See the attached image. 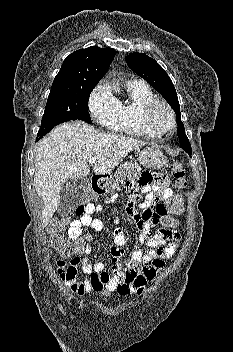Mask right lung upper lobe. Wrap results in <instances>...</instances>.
Segmentation results:
<instances>
[{
  "label": "right lung upper lobe",
  "instance_id": "cb5924a9",
  "mask_svg": "<svg viewBox=\"0 0 233 352\" xmlns=\"http://www.w3.org/2000/svg\"><path fill=\"white\" fill-rule=\"evenodd\" d=\"M115 51L91 46L68 55L56 75L51 90H73L97 85L106 74Z\"/></svg>",
  "mask_w": 233,
  "mask_h": 352
}]
</instances>
